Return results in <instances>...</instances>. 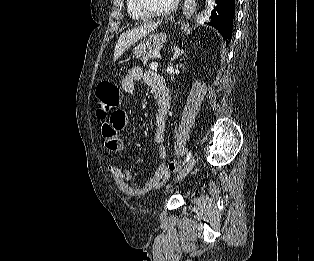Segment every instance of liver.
I'll return each instance as SVG.
<instances>
[{
    "instance_id": "obj_1",
    "label": "liver",
    "mask_w": 314,
    "mask_h": 261,
    "mask_svg": "<svg viewBox=\"0 0 314 261\" xmlns=\"http://www.w3.org/2000/svg\"><path fill=\"white\" fill-rule=\"evenodd\" d=\"M158 25L159 23L146 24L122 33L115 46L113 61L115 62L131 45L145 37Z\"/></svg>"
}]
</instances>
